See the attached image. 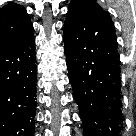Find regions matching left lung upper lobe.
<instances>
[{
    "instance_id": "5c2ea615",
    "label": "left lung upper lobe",
    "mask_w": 136,
    "mask_h": 136,
    "mask_svg": "<svg viewBox=\"0 0 136 136\" xmlns=\"http://www.w3.org/2000/svg\"><path fill=\"white\" fill-rule=\"evenodd\" d=\"M91 16H110L94 0H72L68 7L67 18H84Z\"/></svg>"
}]
</instances>
